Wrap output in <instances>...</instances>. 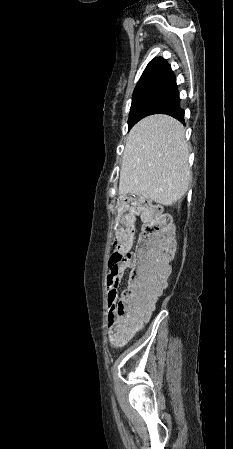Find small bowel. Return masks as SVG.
Masks as SVG:
<instances>
[{"instance_id":"small-bowel-1","label":"small bowel","mask_w":233,"mask_h":449,"mask_svg":"<svg viewBox=\"0 0 233 449\" xmlns=\"http://www.w3.org/2000/svg\"><path fill=\"white\" fill-rule=\"evenodd\" d=\"M131 266V260L114 264L110 267L106 277V286L108 290V305L112 311L115 309L119 298V285L121 279L128 267ZM114 342V338L112 337ZM115 343V342H114Z\"/></svg>"}]
</instances>
